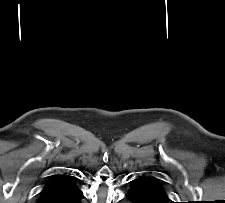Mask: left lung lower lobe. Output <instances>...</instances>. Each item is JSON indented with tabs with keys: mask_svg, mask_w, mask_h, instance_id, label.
<instances>
[{
	"mask_svg": "<svg viewBox=\"0 0 225 203\" xmlns=\"http://www.w3.org/2000/svg\"><path fill=\"white\" fill-rule=\"evenodd\" d=\"M126 197L132 203H165L153 194L138 177L134 179L129 178Z\"/></svg>",
	"mask_w": 225,
	"mask_h": 203,
	"instance_id": "0a47b994",
	"label": "left lung lower lobe"
}]
</instances>
